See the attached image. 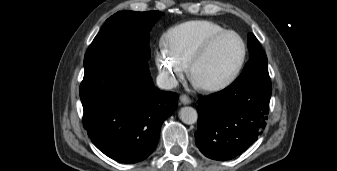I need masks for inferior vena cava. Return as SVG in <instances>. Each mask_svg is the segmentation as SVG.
<instances>
[{
    "instance_id": "obj_1",
    "label": "inferior vena cava",
    "mask_w": 337,
    "mask_h": 171,
    "mask_svg": "<svg viewBox=\"0 0 337 171\" xmlns=\"http://www.w3.org/2000/svg\"><path fill=\"white\" fill-rule=\"evenodd\" d=\"M156 81H157L158 87L161 89H165V90L173 89L178 85L177 80L173 77H170L166 73H160L157 76Z\"/></svg>"
}]
</instances>
